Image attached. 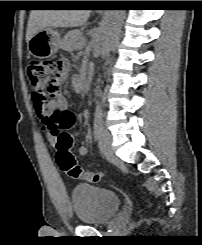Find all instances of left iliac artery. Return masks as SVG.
<instances>
[{"label":"left iliac artery","mask_w":202,"mask_h":245,"mask_svg":"<svg viewBox=\"0 0 202 245\" xmlns=\"http://www.w3.org/2000/svg\"><path fill=\"white\" fill-rule=\"evenodd\" d=\"M102 128V113L97 106L95 111V117H94V137H97L98 133L100 132Z\"/></svg>","instance_id":"44dca946"}]
</instances>
